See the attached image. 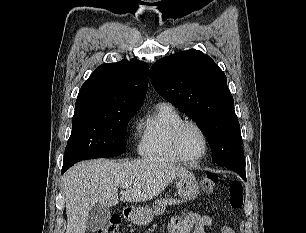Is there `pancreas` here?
Segmentation results:
<instances>
[{"instance_id": "obj_1", "label": "pancreas", "mask_w": 306, "mask_h": 233, "mask_svg": "<svg viewBox=\"0 0 306 233\" xmlns=\"http://www.w3.org/2000/svg\"><path fill=\"white\" fill-rule=\"evenodd\" d=\"M180 200L173 198H160L154 201V214L158 215L162 213L168 206L179 205Z\"/></svg>"}]
</instances>
